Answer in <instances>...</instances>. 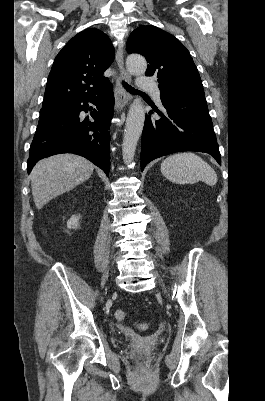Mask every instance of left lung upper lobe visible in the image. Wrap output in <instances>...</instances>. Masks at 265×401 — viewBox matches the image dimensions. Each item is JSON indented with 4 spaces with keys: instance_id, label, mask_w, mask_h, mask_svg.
I'll return each instance as SVG.
<instances>
[{
    "instance_id": "5c2ea615",
    "label": "left lung upper lobe",
    "mask_w": 265,
    "mask_h": 401,
    "mask_svg": "<svg viewBox=\"0 0 265 401\" xmlns=\"http://www.w3.org/2000/svg\"><path fill=\"white\" fill-rule=\"evenodd\" d=\"M126 50L147 59L146 75L158 78L161 95L205 97L189 51L170 33L151 25L141 26L131 33Z\"/></svg>"
}]
</instances>
